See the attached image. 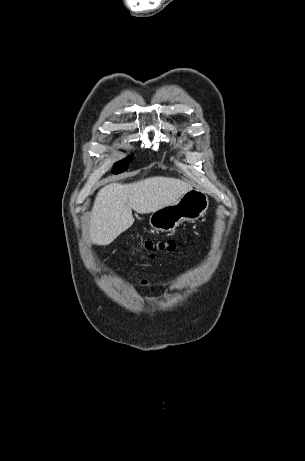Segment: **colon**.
Segmentation results:
<instances>
[{"label": "colon", "instance_id": "1", "mask_svg": "<svg viewBox=\"0 0 305 461\" xmlns=\"http://www.w3.org/2000/svg\"><path fill=\"white\" fill-rule=\"evenodd\" d=\"M177 245V241L173 239L146 241L141 245V249L146 251L150 257H153L155 252L171 253L176 250Z\"/></svg>", "mask_w": 305, "mask_h": 461}]
</instances>
